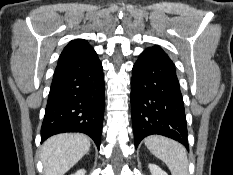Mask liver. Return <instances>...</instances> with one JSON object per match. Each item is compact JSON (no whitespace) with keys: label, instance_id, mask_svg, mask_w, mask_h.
Wrapping results in <instances>:
<instances>
[{"label":"liver","instance_id":"6515ba94","mask_svg":"<svg viewBox=\"0 0 233 175\" xmlns=\"http://www.w3.org/2000/svg\"><path fill=\"white\" fill-rule=\"evenodd\" d=\"M90 149V140L79 133L57 134L42 146L41 160L44 175H64Z\"/></svg>","mask_w":233,"mask_h":175}]
</instances>
